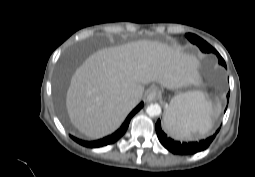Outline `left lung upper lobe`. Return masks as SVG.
Here are the masks:
<instances>
[{
    "instance_id": "obj_1",
    "label": "left lung upper lobe",
    "mask_w": 255,
    "mask_h": 177,
    "mask_svg": "<svg viewBox=\"0 0 255 177\" xmlns=\"http://www.w3.org/2000/svg\"><path fill=\"white\" fill-rule=\"evenodd\" d=\"M185 36L189 39L191 43L196 44L202 52L215 53L218 57L219 64L223 65L226 68V63L224 59L220 56V54L216 51V49H214L211 45H209L205 40L191 33H187Z\"/></svg>"
}]
</instances>
